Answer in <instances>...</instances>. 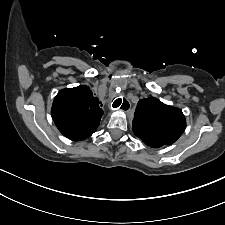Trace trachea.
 I'll use <instances>...</instances> for the list:
<instances>
[{"label": "trachea", "mask_w": 225, "mask_h": 225, "mask_svg": "<svg viewBox=\"0 0 225 225\" xmlns=\"http://www.w3.org/2000/svg\"><path fill=\"white\" fill-rule=\"evenodd\" d=\"M121 103H122V99H121V98H118V99L115 101L114 107L120 106ZM121 107H122V108H128V107H129L128 102H127L126 100H124Z\"/></svg>", "instance_id": "3493384b"}]
</instances>
